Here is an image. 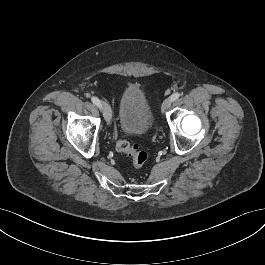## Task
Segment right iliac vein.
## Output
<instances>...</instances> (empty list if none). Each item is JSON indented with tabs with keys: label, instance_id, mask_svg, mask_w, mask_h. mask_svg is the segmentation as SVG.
Returning a JSON list of instances; mask_svg holds the SVG:
<instances>
[{
	"label": "right iliac vein",
	"instance_id": "obj_1",
	"mask_svg": "<svg viewBox=\"0 0 265 265\" xmlns=\"http://www.w3.org/2000/svg\"><path fill=\"white\" fill-rule=\"evenodd\" d=\"M100 109L103 113V116H104L106 122L109 124L111 122V119H112V113H111L110 106L106 102H101L100 103Z\"/></svg>",
	"mask_w": 265,
	"mask_h": 265
}]
</instances>
